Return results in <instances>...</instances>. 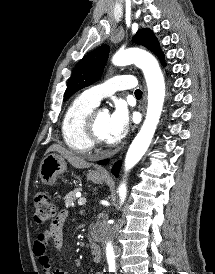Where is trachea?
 Returning a JSON list of instances; mask_svg holds the SVG:
<instances>
[{"mask_svg":"<svg viewBox=\"0 0 215 274\" xmlns=\"http://www.w3.org/2000/svg\"><path fill=\"white\" fill-rule=\"evenodd\" d=\"M135 96H136V97H141V96H142V91L139 90V89H137V90L135 91Z\"/></svg>","mask_w":215,"mask_h":274,"instance_id":"3493384b","label":"trachea"}]
</instances>
